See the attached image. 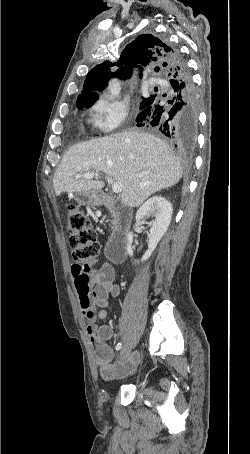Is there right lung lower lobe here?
<instances>
[{
    "instance_id": "right-lung-lower-lobe-1",
    "label": "right lung lower lobe",
    "mask_w": 250,
    "mask_h": 454,
    "mask_svg": "<svg viewBox=\"0 0 250 454\" xmlns=\"http://www.w3.org/2000/svg\"><path fill=\"white\" fill-rule=\"evenodd\" d=\"M171 66L164 76L168 93L152 95L140 106L136 123L162 132L173 141L191 146L198 127L196 92L188 66L177 48L167 43Z\"/></svg>"
}]
</instances>
